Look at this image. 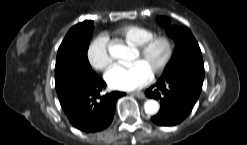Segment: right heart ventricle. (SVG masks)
<instances>
[{
  "label": "right heart ventricle",
  "mask_w": 247,
  "mask_h": 145,
  "mask_svg": "<svg viewBox=\"0 0 247 145\" xmlns=\"http://www.w3.org/2000/svg\"><path fill=\"white\" fill-rule=\"evenodd\" d=\"M115 34L125 42L137 46L146 39L155 35V31L149 27L140 25H126L116 30Z\"/></svg>",
  "instance_id": "e07e8e85"
}]
</instances>
